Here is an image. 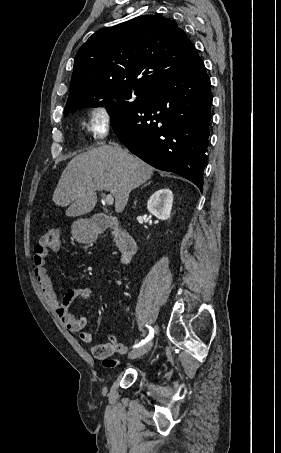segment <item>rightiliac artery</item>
Returning a JSON list of instances; mask_svg holds the SVG:
<instances>
[{
	"mask_svg": "<svg viewBox=\"0 0 281 453\" xmlns=\"http://www.w3.org/2000/svg\"><path fill=\"white\" fill-rule=\"evenodd\" d=\"M146 327L149 328V335L146 337L145 340H142L139 344L133 346V347H139L150 341L154 337V329L151 326L146 325Z\"/></svg>",
	"mask_w": 281,
	"mask_h": 453,
	"instance_id": "82829eb1",
	"label": "right iliac artery"
}]
</instances>
